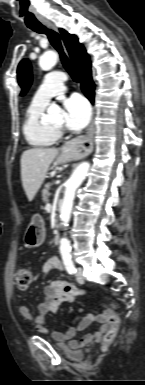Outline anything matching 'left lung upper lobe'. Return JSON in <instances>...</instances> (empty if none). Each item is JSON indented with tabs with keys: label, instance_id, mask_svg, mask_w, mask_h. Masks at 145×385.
I'll return each mask as SVG.
<instances>
[{
	"label": "left lung upper lobe",
	"instance_id": "5c2ea615",
	"mask_svg": "<svg viewBox=\"0 0 145 385\" xmlns=\"http://www.w3.org/2000/svg\"><path fill=\"white\" fill-rule=\"evenodd\" d=\"M18 83L21 87V95H24L32 82L31 65L27 59H23L17 69Z\"/></svg>",
	"mask_w": 145,
	"mask_h": 385
}]
</instances>
